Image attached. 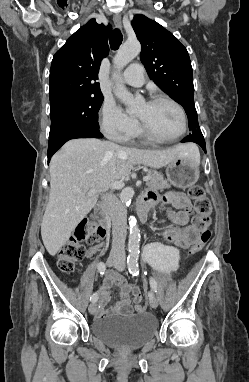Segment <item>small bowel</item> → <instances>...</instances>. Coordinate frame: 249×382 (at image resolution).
<instances>
[{"mask_svg": "<svg viewBox=\"0 0 249 382\" xmlns=\"http://www.w3.org/2000/svg\"><path fill=\"white\" fill-rule=\"evenodd\" d=\"M144 200L152 205H171L176 211L170 214V218L174 224L173 228L164 232L165 237L172 241L175 245L182 248L189 247L199 237V230L194 224H190V218L193 211L191 200L183 193L168 191L159 197L156 192L149 191L144 196ZM103 247L99 244L91 247L87 256H91ZM116 285L120 288V300L110 309H107V303L110 299V287ZM133 293L141 296L140 292L127 282L125 277L117 272H108L101 285L100 301L97 306L99 317H106L117 314H129L130 294Z\"/></svg>", "mask_w": 249, "mask_h": 382, "instance_id": "c3829d8e", "label": "small bowel"}]
</instances>
